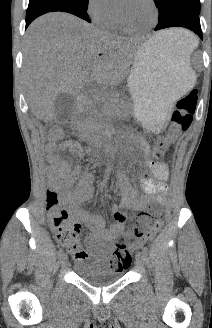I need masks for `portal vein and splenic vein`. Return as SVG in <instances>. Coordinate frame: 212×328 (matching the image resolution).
Listing matches in <instances>:
<instances>
[{"mask_svg": "<svg viewBox=\"0 0 212 328\" xmlns=\"http://www.w3.org/2000/svg\"><path fill=\"white\" fill-rule=\"evenodd\" d=\"M86 70H87V71H89V70H90V68L88 67Z\"/></svg>", "mask_w": 212, "mask_h": 328, "instance_id": "portal-vein-and-splenic-vein-1", "label": "portal vein and splenic vein"}]
</instances>
